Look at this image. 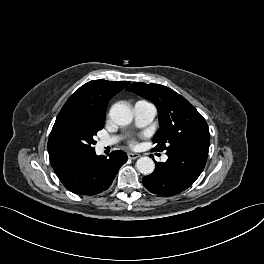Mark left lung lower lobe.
Wrapping results in <instances>:
<instances>
[{
    "instance_id": "obj_1",
    "label": "left lung lower lobe",
    "mask_w": 264,
    "mask_h": 264,
    "mask_svg": "<svg viewBox=\"0 0 264 264\" xmlns=\"http://www.w3.org/2000/svg\"><path fill=\"white\" fill-rule=\"evenodd\" d=\"M168 160L165 163H156L153 173L143 177L145 188L158 195L172 196L191 186L203 171L206 154L178 147L166 153Z\"/></svg>"
}]
</instances>
